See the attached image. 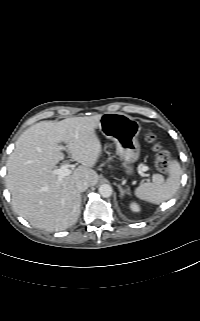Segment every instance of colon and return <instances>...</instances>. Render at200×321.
Wrapping results in <instances>:
<instances>
[{
	"label": "colon",
	"mask_w": 200,
	"mask_h": 321,
	"mask_svg": "<svg viewBox=\"0 0 200 321\" xmlns=\"http://www.w3.org/2000/svg\"><path fill=\"white\" fill-rule=\"evenodd\" d=\"M148 141L153 145V149L156 153L157 169L161 172H167L170 162L169 154L160 147L153 135L148 136Z\"/></svg>",
	"instance_id": "obj_1"
}]
</instances>
